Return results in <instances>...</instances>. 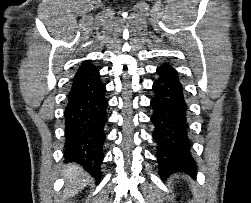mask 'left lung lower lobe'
<instances>
[{"instance_id": "obj_1", "label": "left lung lower lobe", "mask_w": 251, "mask_h": 203, "mask_svg": "<svg viewBox=\"0 0 251 203\" xmlns=\"http://www.w3.org/2000/svg\"><path fill=\"white\" fill-rule=\"evenodd\" d=\"M151 100L155 126L153 139L157 143L158 168L161 177L175 172L196 175V163L190 152L188 136V105L178 72L165 63L157 68Z\"/></svg>"}]
</instances>
